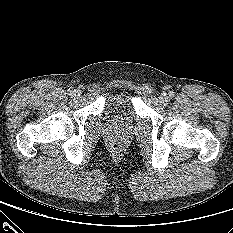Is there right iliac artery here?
<instances>
[{
    "label": "right iliac artery",
    "instance_id": "82829eb1",
    "mask_svg": "<svg viewBox=\"0 0 233 233\" xmlns=\"http://www.w3.org/2000/svg\"><path fill=\"white\" fill-rule=\"evenodd\" d=\"M72 93H73V90L70 88V89H68V94L69 95H72Z\"/></svg>",
    "mask_w": 233,
    "mask_h": 233
}]
</instances>
